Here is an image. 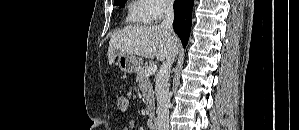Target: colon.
<instances>
[{"instance_id": "1", "label": "colon", "mask_w": 299, "mask_h": 130, "mask_svg": "<svg viewBox=\"0 0 299 130\" xmlns=\"http://www.w3.org/2000/svg\"><path fill=\"white\" fill-rule=\"evenodd\" d=\"M116 103H117L118 109L121 111H125L128 107V100L126 99L125 96H118Z\"/></svg>"}]
</instances>
